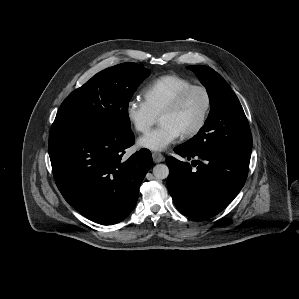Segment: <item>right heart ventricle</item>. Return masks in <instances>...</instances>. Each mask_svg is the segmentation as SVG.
I'll list each match as a JSON object with an SVG mask.
<instances>
[{
  "mask_svg": "<svg viewBox=\"0 0 299 299\" xmlns=\"http://www.w3.org/2000/svg\"><path fill=\"white\" fill-rule=\"evenodd\" d=\"M191 85L193 82L188 78L175 74L163 75L150 82L142 90V96L157 117L176 95Z\"/></svg>",
  "mask_w": 299,
  "mask_h": 299,
  "instance_id": "right-heart-ventricle-1",
  "label": "right heart ventricle"
}]
</instances>
